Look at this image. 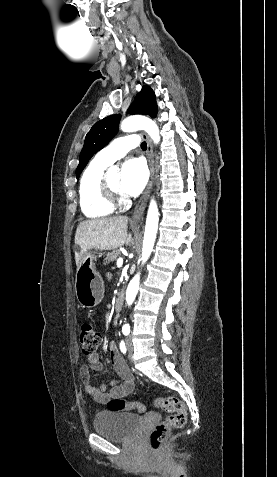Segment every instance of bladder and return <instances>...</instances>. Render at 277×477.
Instances as JSON below:
<instances>
[{"label":"bladder","instance_id":"bladder-1","mask_svg":"<svg viewBox=\"0 0 277 477\" xmlns=\"http://www.w3.org/2000/svg\"><path fill=\"white\" fill-rule=\"evenodd\" d=\"M140 424L139 415L123 411L101 412L93 421L95 432L112 441H125L132 438Z\"/></svg>","mask_w":277,"mask_h":477}]
</instances>
